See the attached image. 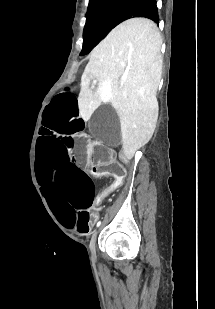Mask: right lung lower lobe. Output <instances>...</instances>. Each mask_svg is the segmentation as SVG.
Listing matches in <instances>:
<instances>
[{
  "label": "right lung lower lobe",
  "instance_id": "1",
  "mask_svg": "<svg viewBox=\"0 0 215 309\" xmlns=\"http://www.w3.org/2000/svg\"><path fill=\"white\" fill-rule=\"evenodd\" d=\"M134 17H145L158 23L159 16L156 0H131L116 23L118 25Z\"/></svg>",
  "mask_w": 215,
  "mask_h": 309
}]
</instances>
